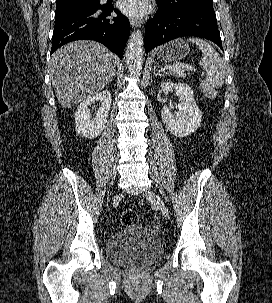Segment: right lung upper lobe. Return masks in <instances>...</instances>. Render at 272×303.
Instances as JSON below:
<instances>
[{
    "instance_id": "obj_1",
    "label": "right lung upper lobe",
    "mask_w": 272,
    "mask_h": 303,
    "mask_svg": "<svg viewBox=\"0 0 272 303\" xmlns=\"http://www.w3.org/2000/svg\"><path fill=\"white\" fill-rule=\"evenodd\" d=\"M66 1H71V0H56V3H61V2H66Z\"/></svg>"
}]
</instances>
